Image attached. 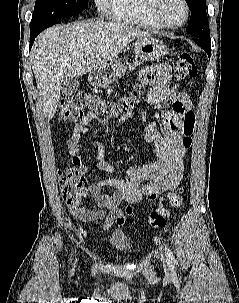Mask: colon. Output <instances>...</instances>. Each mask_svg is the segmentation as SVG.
Wrapping results in <instances>:
<instances>
[{"instance_id":"5ec220e1","label":"colon","mask_w":239,"mask_h":303,"mask_svg":"<svg viewBox=\"0 0 239 303\" xmlns=\"http://www.w3.org/2000/svg\"><path fill=\"white\" fill-rule=\"evenodd\" d=\"M198 74L197 66L190 54H181L175 67V76L182 80L195 77ZM142 88L136 87L127 96L117 101H109L100 96L80 92L64 97L59 105L58 118L61 122H75L81 118L83 110L88 109L92 113L104 118H113L129 113L134 105L139 101ZM195 131V116L192 112L184 115L182 140L185 149L192 146V135ZM59 185L63 201L67 205H74L78 202L80 194L86 186L84 176L71 166H67L60 171ZM184 190H173L168 200L172 207L178 208L183 204ZM127 216L132 215V208L127 206L125 209ZM169 219V210L161 203L150 212L148 224L154 228H161L167 224Z\"/></svg>"}]
</instances>
